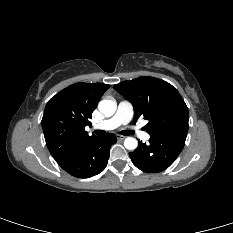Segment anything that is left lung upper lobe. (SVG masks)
Returning a JSON list of instances; mask_svg holds the SVG:
<instances>
[{"label": "left lung upper lobe", "instance_id": "left-lung-upper-lobe-1", "mask_svg": "<svg viewBox=\"0 0 233 233\" xmlns=\"http://www.w3.org/2000/svg\"><path fill=\"white\" fill-rule=\"evenodd\" d=\"M135 110L134 122L148 119L151 138L181 136L188 132V108L179 92L168 82L142 76L113 86Z\"/></svg>", "mask_w": 233, "mask_h": 233}]
</instances>
